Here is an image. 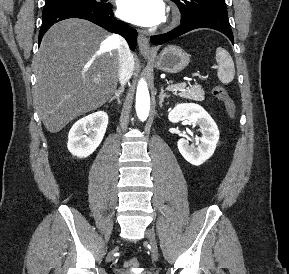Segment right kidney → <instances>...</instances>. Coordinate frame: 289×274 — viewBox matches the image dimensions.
<instances>
[{
	"mask_svg": "<svg viewBox=\"0 0 289 274\" xmlns=\"http://www.w3.org/2000/svg\"><path fill=\"white\" fill-rule=\"evenodd\" d=\"M108 125V115L98 111L78 120L70 129L67 147L73 156H90L103 140Z\"/></svg>",
	"mask_w": 289,
	"mask_h": 274,
	"instance_id": "obj_1",
	"label": "right kidney"
}]
</instances>
